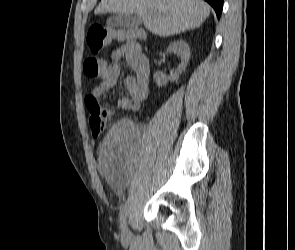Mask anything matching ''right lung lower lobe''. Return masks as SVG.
I'll list each match as a JSON object with an SVG mask.
<instances>
[{"label":"right lung lower lobe","instance_id":"obj_1","mask_svg":"<svg viewBox=\"0 0 295 250\" xmlns=\"http://www.w3.org/2000/svg\"><path fill=\"white\" fill-rule=\"evenodd\" d=\"M208 2L215 10L218 19L221 16L222 8H223V0H205Z\"/></svg>","mask_w":295,"mask_h":250}]
</instances>
